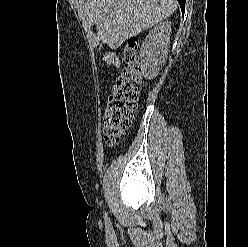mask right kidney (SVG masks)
I'll use <instances>...</instances> for the list:
<instances>
[{"label": "right kidney", "mask_w": 248, "mask_h": 247, "mask_svg": "<svg viewBox=\"0 0 248 247\" xmlns=\"http://www.w3.org/2000/svg\"><path fill=\"white\" fill-rule=\"evenodd\" d=\"M171 22L154 25L140 48V59L146 79L155 78L164 65L170 44Z\"/></svg>", "instance_id": "1"}]
</instances>
